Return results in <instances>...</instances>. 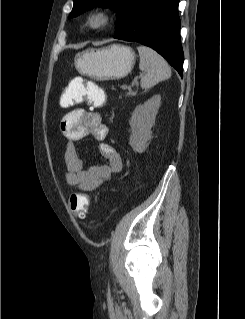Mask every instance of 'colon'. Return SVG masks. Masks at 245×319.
<instances>
[{
	"label": "colon",
	"instance_id": "obj_1",
	"mask_svg": "<svg viewBox=\"0 0 245 319\" xmlns=\"http://www.w3.org/2000/svg\"><path fill=\"white\" fill-rule=\"evenodd\" d=\"M86 102L91 107H101L105 102V92L99 85L89 79H84L81 87L75 95V102L72 104ZM89 206V197L85 193H73L69 198V207L73 214L84 218Z\"/></svg>",
	"mask_w": 245,
	"mask_h": 319
}]
</instances>
